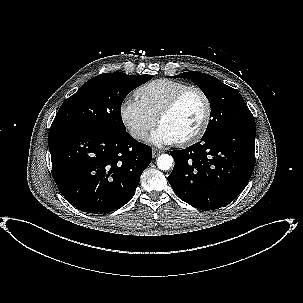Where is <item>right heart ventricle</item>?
Returning <instances> with one entry per match:
<instances>
[{
  "label": "right heart ventricle",
  "instance_id": "obj_1",
  "mask_svg": "<svg viewBox=\"0 0 303 303\" xmlns=\"http://www.w3.org/2000/svg\"><path fill=\"white\" fill-rule=\"evenodd\" d=\"M188 86L179 80L157 79L138 88L135 94L148 113L156 118L171 98Z\"/></svg>",
  "mask_w": 303,
  "mask_h": 303
}]
</instances>
